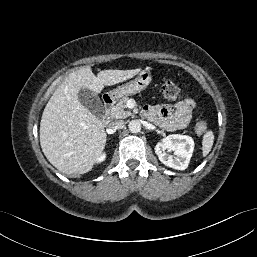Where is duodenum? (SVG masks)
<instances>
[{
  "instance_id": "1",
  "label": "duodenum",
  "mask_w": 257,
  "mask_h": 257,
  "mask_svg": "<svg viewBox=\"0 0 257 257\" xmlns=\"http://www.w3.org/2000/svg\"><path fill=\"white\" fill-rule=\"evenodd\" d=\"M103 104H104V114L102 117V123L106 125L110 121V110L114 104V99L111 96L106 95L103 97Z\"/></svg>"
}]
</instances>
